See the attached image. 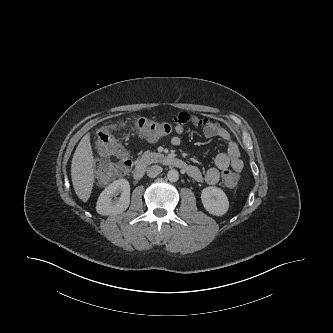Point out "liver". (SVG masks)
I'll return each instance as SVG.
<instances>
[{"label": "liver", "mask_w": 333, "mask_h": 333, "mask_svg": "<svg viewBox=\"0 0 333 333\" xmlns=\"http://www.w3.org/2000/svg\"><path fill=\"white\" fill-rule=\"evenodd\" d=\"M90 133L79 142L71 164V178L75 193L83 202H87L94 183L95 159L90 142Z\"/></svg>", "instance_id": "1"}]
</instances>
